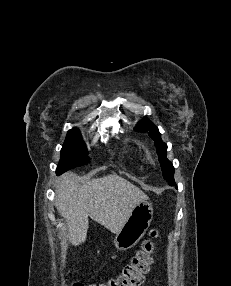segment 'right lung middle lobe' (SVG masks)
I'll use <instances>...</instances> for the list:
<instances>
[{
  "mask_svg": "<svg viewBox=\"0 0 231 286\" xmlns=\"http://www.w3.org/2000/svg\"><path fill=\"white\" fill-rule=\"evenodd\" d=\"M88 160L86 145L82 141L80 132L77 129L70 130L61 150V159L56 170L57 175L83 165Z\"/></svg>",
  "mask_w": 231,
  "mask_h": 286,
  "instance_id": "right-lung-middle-lobe-1",
  "label": "right lung middle lobe"
}]
</instances>
